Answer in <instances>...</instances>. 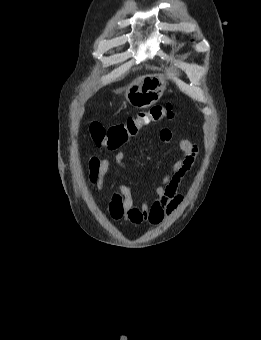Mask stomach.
Instances as JSON below:
<instances>
[{
  "label": "stomach",
  "mask_w": 261,
  "mask_h": 340,
  "mask_svg": "<svg viewBox=\"0 0 261 340\" xmlns=\"http://www.w3.org/2000/svg\"><path fill=\"white\" fill-rule=\"evenodd\" d=\"M166 82L159 75H144L126 89V101L133 107L144 109L154 105L163 95Z\"/></svg>",
  "instance_id": "1"
}]
</instances>
